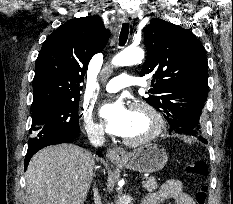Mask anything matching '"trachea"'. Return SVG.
Segmentation results:
<instances>
[{
	"label": "trachea",
	"instance_id": "obj_1",
	"mask_svg": "<svg viewBox=\"0 0 233 204\" xmlns=\"http://www.w3.org/2000/svg\"><path fill=\"white\" fill-rule=\"evenodd\" d=\"M128 34H129V24L128 23H123L121 32H120V37H119V45L124 46L127 39H128Z\"/></svg>",
	"mask_w": 233,
	"mask_h": 204
}]
</instances>
